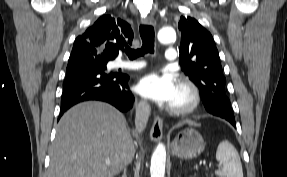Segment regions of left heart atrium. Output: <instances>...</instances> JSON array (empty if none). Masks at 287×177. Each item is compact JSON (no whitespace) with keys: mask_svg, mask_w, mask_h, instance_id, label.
<instances>
[{"mask_svg":"<svg viewBox=\"0 0 287 177\" xmlns=\"http://www.w3.org/2000/svg\"><path fill=\"white\" fill-rule=\"evenodd\" d=\"M177 89L178 84L173 75L158 72L143 76L136 86L142 97L158 103H170Z\"/></svg>","mask_w":287,"mask_h":177,"instance_id":"1","label":"left heart atrium"}]
</instances>
